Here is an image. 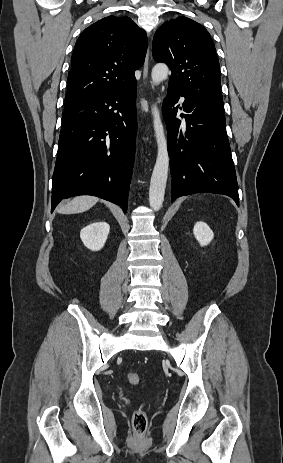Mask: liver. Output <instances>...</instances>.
<instances>
[{"mask_svg": "<svg viewBox=\"0 0 283 463\" xmlns=\"http://www.w3.org/2000/svg\"><path fill=\"white\" fill-rule=\"evenodd\" d=\"M98 202V198L94 196H78L65 205L58 208V213L75 214L89 210Z\"/></svg>", "mask_w": 283, "mask_h": 463, "instance_id": "6515ba94", "label": "liver"}]
</instances>
